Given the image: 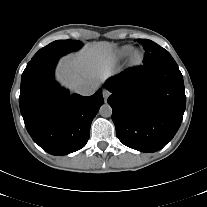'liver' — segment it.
<instances>
[{
    "mask_svg": "<svg viewBox=\"0 0 207 207\" xmlns=\"http://www.w3.org/2000/svg\"><path fill=\"white\" fill-rule=\"evenodd\" d=\"M113 45L93 43L77 54L64 57L58 64L57 78L72 90L82 82L99 84L111 73L114 66Z\"/></svg>",
    "mask_w": 207,
    "mask_h": 207,
    "instance_id": "6515ba94",
    "label": "liver"
}]
</instances>
